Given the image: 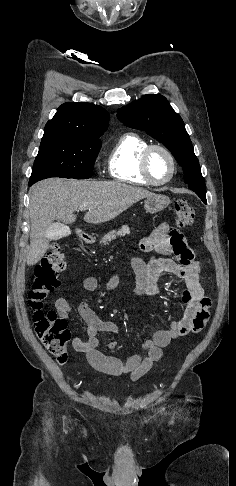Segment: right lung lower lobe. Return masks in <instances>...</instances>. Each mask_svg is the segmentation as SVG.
I'll list each match as a JSON object with an SVG mask.
<instances>
[{"label":"right lung lower lobe","mask_w":236,"mask_h":486,"mask_svg":"<svg viewBox=\"0 0 236 486\" xmlns=\"http://www.w3.org/2000/svg\"><path fill=\"white\" fill-rule=\"evenodd\" d=\"M32 184H34V183H29V186H31Z\"/></svg>","instance_id":"obj_1"}]
</instances>
